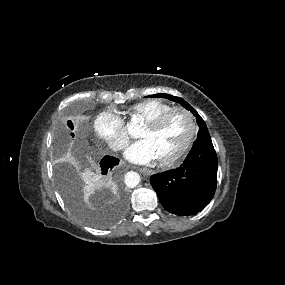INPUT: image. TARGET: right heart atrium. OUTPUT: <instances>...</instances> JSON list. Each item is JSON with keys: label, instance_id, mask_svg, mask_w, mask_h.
I'll return each mask as SVG.
<instances>
[{"label": "right heart atrium", "instance_id": "right-heart-atrium-1", "mask_svg": "<svg viewBox=\"0 0 285 285\" xmlns=\"http://www.w3.org/2000/svg\"><path fill=\"white\" fill-rule=\"evenodd\" d=\"M96 135L114 150L123 149L129 142L124 121L114 112L104 111L94 119Z\"/></svg>", "mask_w": 285, "mask_h": 285}]
</instances>
